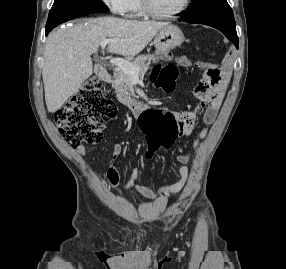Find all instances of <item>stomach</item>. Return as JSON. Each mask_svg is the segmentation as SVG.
Masks as SVG:
<instances>
[{
  "label": "stomach",
  "mask_w": 286,
  "mask_h": 269,
  "mask_svg": "<svg viewBox=\"0 0 286 269\" xmlns=\"http://www.w3.org/2000/svg\"><path fill=\"white\" fill-rule=\"evenodd\" d=\"M184 41V35L181 29L175 25H167L163 27L154 38L156 49H174L181 45Z\"/></svg>",
  "instance_id": "0dacf381"
}]
</instances>
